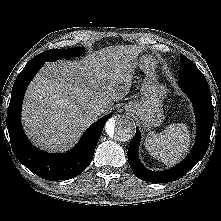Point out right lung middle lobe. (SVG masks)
Returning a JSON list of instances; mask_svg holds the SVG:
<instances>
[{
  "label": "right lung middle lobe",
  "instance_id": "obj_1",
  "mask_svg": "<svg viewBox=\"0 0 221 221\" xmlns=\"http://www.w3.org/2000/svg\"><path fill=\"white\" fill-rule=\"evenodd\" d=\"M84 51L83 47H75L71 49H51L48 51H45L43 53H40L36 57H34L31 61L37 62V61H55L56 59L60 58H68L73 56H78L82 54Z\"/></svg>",
  "mask_w": 221,
  "mask_h": 221
}]
</instances>
